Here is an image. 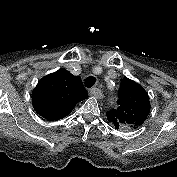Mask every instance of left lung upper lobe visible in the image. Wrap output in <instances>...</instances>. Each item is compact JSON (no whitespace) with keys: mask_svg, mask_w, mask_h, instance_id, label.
I'll return each instance as SVG.
<instances>
[{"mask_svg":"<svg viewBox=\"0 0 177 177\" xmlns=\"http://www.w3.org/2000/svg\"><path fill=\"white\" fill-rule=\"evenodd\" d=\"M150 108L144 88L124 77L119 90L118 107L107 112V119L116 129L131 131L145 122Z\"/></svg>","mask_w":177,"mask_h":177,"instance_id":"obj_1","label":"left lung upper lobe"}]
</instances>
